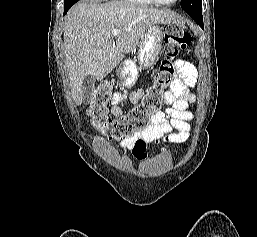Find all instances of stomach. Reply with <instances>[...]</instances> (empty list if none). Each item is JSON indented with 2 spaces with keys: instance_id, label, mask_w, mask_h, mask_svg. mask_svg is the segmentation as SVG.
<instances>
[{
  "instance_id": "obj_1",
  "label": "stomach",
  "mask_w": 257,
  "mask_h": 237,
  "mask_svg": "<svg viewBox=\"0 0 257 237\" xmlns=\"http://www.w3.org/2000/svg\"><path fill=\"white\" fill-rule=\"evenodd\" d=\"M163 37L164 27L158 24L151 25L145 31L139 43L137 56L139 66L132 60H126L119 68L118 75L122 87L131 88L134 86L139 77V69L153 65L160 53Z\"/></svg>"
}]
</instances>
